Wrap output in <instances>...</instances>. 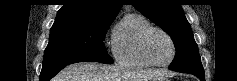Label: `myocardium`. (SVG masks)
Returning a JSON list of instances; mask_svg holds the SVG:
<instances>
[{
  "label": "myocardium",
  "mask_w": 237,
  "mask_h": 81,
  "mask_svg": "<svg viewBox=\"0 0 237 81\" xmlns=\"http://www.w3.org/2000/svg\"><path fill=\"white\" fill-rule=\"evenodd\" d=\"M154 32H159V33L163 34L165 37L168 38V40L171 43L172 56L165 63H158V62L154 61V59L151 56V53H150V50H149V38ZM141 47H142V53H143L144 57L150 62L151 65L156 66V67H167V66H169L173 62V60L175 59V56H176V45H175L174 39L171 37V35L169 33H167L165 30H163L159 27L152 26L144 33V35L142 37Z\"/></svg>",
  "instance_id": "obj_1"
}]
</instances>
